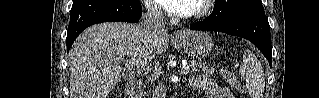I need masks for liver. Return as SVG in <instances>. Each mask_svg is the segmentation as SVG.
I'll list each match as a JSON object with an SVG mask.
<instances>
[{
    "label": "liver",
    "instance_id": "6515ba94",
    "mask_svg": "<svg viewBox=\"0 0 319 98\" xmlns=\"http://www.w3.org/2000/svg\"><path fill=\"white\" fill-rule=\"evenodd\" d=\"M168 43V35L155 39L141 24L107 22L87 28L69 52L70 98H106L122 78L131 76L134 58L146 66Z\"/></svg>",
    "mask_w": 319,
    "mask_h": 98
}]
</instances>
